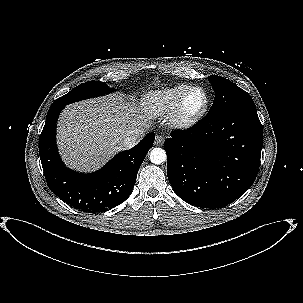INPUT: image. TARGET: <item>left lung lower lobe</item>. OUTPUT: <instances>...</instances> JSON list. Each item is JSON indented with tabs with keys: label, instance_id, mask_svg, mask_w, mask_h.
Instances as JSON below:
<instances>
[{
	"label": "left lung lower lobe",
	"instance_id": "1",
	"mask_svg": "<svg viewBox=\"0 0 303 303\" xmlns=\"http://www.w3.org/2000/svg\"><path fill=\"white\" fill-rule=\"evenodd\" d=\"M262 145L256 108L206 116L165 140L169 182L185 202L221 208L253 184Z\"/></svg>",
	"mask_w": 303,
	"mask_h": 303
}]
</instances>
